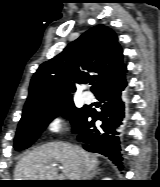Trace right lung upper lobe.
<instances>
[{
	"label": "right lung upper lobe",
	"instance_id": "right-lung-upper-lobe-1",
	"mask_svg": "<svg viewBox=\"0 0 160 187\" xmlns=\"http://www.w3.org/2000/svg\"><path fill=\"white\" fill-rule=\"evenodd\" d=\"M116 34L97 25L69 44L60 54L44 62L34 74L23 113L36 112L72 100L74 84L94 81V93L102 82L125 66Z\"/></svg>",
	"mask_w": 160,
	"mask_h": 187
}]
</instances>
